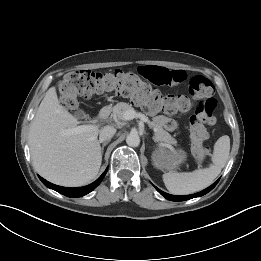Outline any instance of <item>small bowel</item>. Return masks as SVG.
I'll list each match as a JSON object with an SVG mask.
<instances>
[{
	"label": "small bowel",
	"instance_id": "1",
	"mask_svg": "<svg viewBox=\"0 0 261 261\" xmlns=\"http://www.w3.org/2000/svg\"><path fill=\"white\" fill-rule=\"evenodd\" d=\"M139 71L143 77L156 85H176L182 83L187 77L183 70H170L160 66H142ZM155 121L167 130L176 128L175 121L168 117L157 116Z\"/></svg>",
	"mask_w": 261,
	"mask_h": 261
}]
</instances>
